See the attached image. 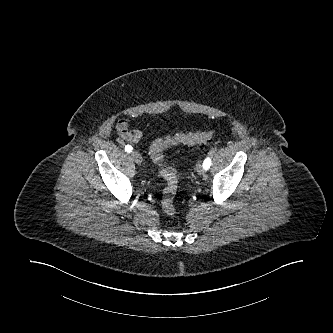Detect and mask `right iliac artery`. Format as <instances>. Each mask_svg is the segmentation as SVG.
<instances>
[{"label":"right iliac artery","mask_w":333,"mask_h":333,"mask_svg":"<svg viewBox=\"0 0 333 333\" xmlns=\"http://www.w3.org/2000/svg\"><path fill=\"white\" fill-rule=\"evenodd\" d=\"M133 150L132 146L131 145H126L125 146V151L130 153L131 151Z\"/></svg>","instance_id":"82829eb1"}]
</instances>
